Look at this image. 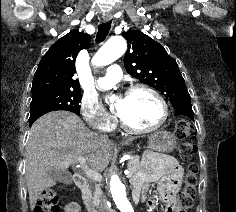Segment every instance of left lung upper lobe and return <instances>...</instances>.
<instances>
[{
	"instance_id": "1",
	"label": "left lung upper lobe",
	"mask_w": 236,
	"mask_h": 212,
	"mask_svg": "<svg viewBox=\"0 0 236 212\" xmlns=\"http://www.w3.org/2000/svg\"><path fill=\"white\" fill-rule=\"evenodd\" d=\"M128 49L124 57L126 71L170 100L173 107L189 103L190 95L176 61L164 47L139 30L123 32Z\"/></svg>"
}]
</instances>
